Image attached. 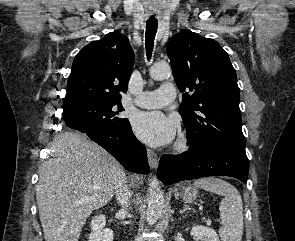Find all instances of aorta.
Masks as SVG:
<instances>
[{
    "instance_id": "1",
    "label": "aorta",
    "mask_w": 295,
    "mask_h": 241,
    "mask_svg": "<svg viewBox=\"0 0 295 241\" xmlns=\"http://www.w3.org/2000/svg\"><path fill=\"white\" fill-rule=\"evenodd\" d=\"M172 73L171 67L167 63H158L153 65L149 74L154 80H163L168 78ZM164 207V193L160 187L159 180L152 178L148 188L147 198V222L149 225H153L162 214Z\"/></svg>"
}]
</instances>
